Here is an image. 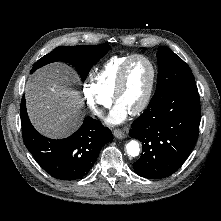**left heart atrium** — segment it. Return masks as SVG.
<instances>
[{"label":"left heart atrium","instance_id":"39dd6f15","mask_svg":"<svg viewBox=\"0 0 221 221\" xmlns=\"http://www.w3.org/2000/svg\"><path fill=\"white\" fill-rule=\"evenodd\" d=\"M129 111H127L124 107L119 104H116L115 107L110 112L107 117V122L112 125L120 124L126 120L129 115Z\"/></svg>","mask_w":221,"mask_h":221}]
</instances>
